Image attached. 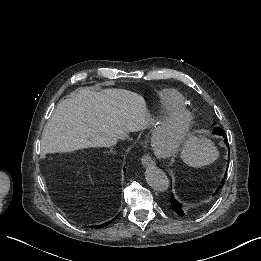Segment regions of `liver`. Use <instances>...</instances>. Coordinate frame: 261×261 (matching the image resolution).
<instances>
[{"mask_svg":"<svg viewBox=\"0 0 261 261\" xmlns=\"http://www.w3.org/2000/svg\"><path fill=\"white\" fill-rule=\"evenodd\" d=\"M148 126L143 99L119 89L82 88L58 103L42 135L45 152L72 153L116 145L129 132Z\"/></svg>","mask_w":261,"mask_h":261,"instance_id":"liver-1","label":"liver"}]
</instances>
